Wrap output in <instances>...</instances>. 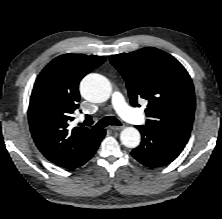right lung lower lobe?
Returning a JSON list of instances; mask_svg holds the SVG:
<instances>
[{"instance_id": "1", "label": "right lung lower lobe", "mask_w": 222, "mask_h": 219, "mask_svg": "<svg viewBox=\"0 0 222 219\" xmlns=\"http://www.w3.org/2000/svg\"><path fill=\"white\" fill-rule=\"evenodd\" d=\"M105 134H106L105 129H101L98 136L95 138L94 142L88 147L85 153L70 168L72 169L78 168L84 165L88 160H90L92 156L95 154L96 150L98 149V146L102 141V139L104 138Z\"/></svg>"}]
</instances>
